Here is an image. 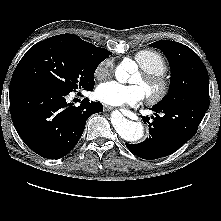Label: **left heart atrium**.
<instances>
[{"label":"left heart atrium","instance_id":"left-heart-atrium-1","mask_svg":"<svg viewBox=\"0 0 221 221\" xmlns=\"http://www.w3.org/2000/svg\"><path fill=\"white\" fill-rule=\"evenodd\" d=\"M95 95L101 102L112 106H135L144 100L146 93L137 84L125 85L108 81L97 87Z\"/></svg>","mask_w":221,"mask_h":221}]
</instances>
